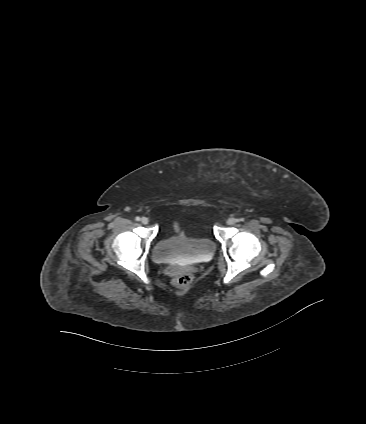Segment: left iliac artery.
Segmentation results:
<instances>
[{
    "label": "left iliac artery",
    "instance_id": "left-iliac-artery-1",
    "mask_svg": "<svg viewBox=\"0 0 366 424\" xmlns=\"http://www.w3.org/2000/svg\"><path fill=\"white\" fill-rule=\"evenodd\" d=\"M238 221L239 222H243L244 221V218H239Z\"/></svg>",
    "mask_w": 366,
    "mask_h": 424
}]
</instances>
